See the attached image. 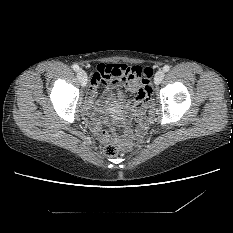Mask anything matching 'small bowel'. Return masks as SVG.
Returning a JSON list of instances; mask_svg holds the SVG:
<instances>
[{
    "label": "small bowel",
    "mask_w": 233,
    "mask_h": 233,
    "mask_svg": "<svg viewBox=\"0 0 233 233\" xmlns=\"http://www.w3.org/2000/svg\"><path fill=\"white\" fill-rule=\"evenodd\" d=\"M140 66H128L123 63L99 62L96 71L91 79V86L86 100V109L93 117L90 130L100 144L111 142L135 143L142 139L147 129V119L145 116V100L129 101L124 92L117 90L113 97V88L125 86L132 93H137L140 87L147 86L149 80ZM130 73L137 79V84L128 81L126 74ZM100 84H105V89L101 101L97 100V88ZM136 122V128H129L124 136H118L103 129V123Z\"/></svg>",
    "instance_id": "obj_1"
}]
</instances>
